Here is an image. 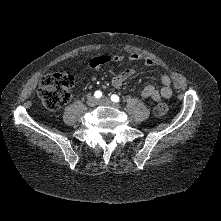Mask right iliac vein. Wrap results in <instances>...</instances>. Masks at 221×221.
I'll return each mask as SVG.
<instances>
[{
  "label": "right iliac vein",
  "instance_id": "obj_1",
  "mask_svg": "<svg viewBox=\"0 0 221 221\" xmlns=\"http://www.w3.org/2000/svg\"><path fill=\"white\" fill-rule=\"evenodd\" d=\"M87 104L90 107H94L95 105H97V100L93 96H89L87 99Z\"/></svg>",
  "mask_w": 221,
  "mask_h": 221
}]
</instances>
